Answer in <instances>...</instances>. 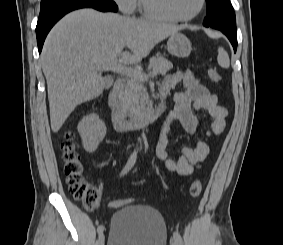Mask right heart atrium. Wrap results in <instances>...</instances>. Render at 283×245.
I'll return each instance as SVG.
<instances>
[{
  "label": "right heart atrium",
  "instance_id": "obj_1",
  "mask_svg": "<svg viewBox=\"0 0 283 245\" xmlns=\"http://www.w3.org/2000/svg\"><path fill=\"white\" fill-rule=\"evenodd\" d=\"M117 7L125 14L134 12L137 6V0H113Z\"/></svg>",
  "mask_w": 283,
  "mask_h": 245
}]
</instances>
